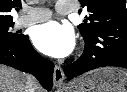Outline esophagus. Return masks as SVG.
Instances as JSON below:
<instances>
[{
	"mask_svg": "<svg viewBox=\"0 0 127 92\" xmlns=\"http://www.w3.org/2000/svg\"><path fill=\"white\" fill-rule=\"evenodd\" d=\"M64 81V72L60 65H55L54 74H53V82L54 86L62 87Z\"/></svg>",
	"mask_w": 127,
	"mask_h": 92,
	"instance_id": "obj_1",
	"label": "esophagus"
}]
</instances>
